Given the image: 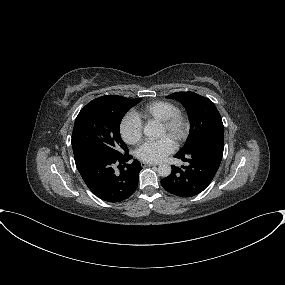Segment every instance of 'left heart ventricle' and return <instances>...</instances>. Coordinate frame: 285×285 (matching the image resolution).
<instances>
[{"instance_id": "1", "label": "left heart ventricle", "mask_w": 285, "mask_h": 285, "mask_svg": "<svg viewBox=\"0 0 285 285\" xmlns=\"http://www.w3.org/2000/svg\"><path fill=\"white\" fill-rule=\"evenodd\" d=\"M169 136L171 139H173V136L168 134V132L166 131V129L163 126H160V130H159V136Z\"/></svg>"}]
</instances>
